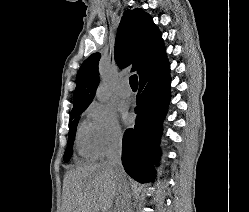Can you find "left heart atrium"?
Segmentation results:
<instances>
[{"instance_id": "obj_1", "label": "left heart atrium", "mask_w": 249, "mask_h": 212, "mask_svg": "<svg viewBox=\"0 0 249 212\" xmlns=\"http://www.w3.org/2000/svg\"><path fill=\"white\" fill-rule=\"evenodd\" d=\"M122 120L126 126H129L132 123V117L128 113H123Z\"/></svg>"}]
</instances>
